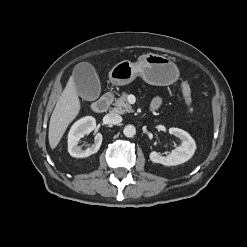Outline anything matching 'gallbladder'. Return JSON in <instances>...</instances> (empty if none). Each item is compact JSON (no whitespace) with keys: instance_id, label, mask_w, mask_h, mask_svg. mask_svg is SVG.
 <instances>
[{"instance_id":"bac80fb5","label":"gallbladder","mask_w":247,"mask_h":247,"mask_svg":"<svg viewBox=\"0 0 247 247\" xmlns=\"http://www.w3.org/2000/svg\"><path fill=\"white\" fill-rule=\"evenodd\" d=\"M76 91L87 101L96 100L101 92V85L95 68L88 62L77 64L73 70Z\"/></svg>"}]
</instances>
